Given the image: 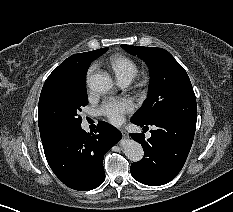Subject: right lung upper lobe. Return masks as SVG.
<instances>
[{
	"instance_id": "obj_1",
	"label": "right lung upper lobe",
	"mask_w": 233,
	"mask_h": 212,
	"mask_svg": "<svg viewBox=\"0 0 233 212\" xmlns=\"http://www.w3.org/2000/svg\"><path fill=\"white\" fill-rule=\"evenodd\" d=\"M97 52L98 50H95L70 56L49 75L45 81V85L63 76L76 75L87 71L90 63L97 58ZM40 135L44 149L55 142V140L46 138L41 132Z\"/></svg>"
}]
</instances>
